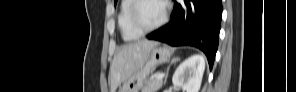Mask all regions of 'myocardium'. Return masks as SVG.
<instances>
[{
    "label": "myocardium",
    "instance_id": "myocardium-1",
    "mask_svg": "<svg viewBox=\"0 0 296 92\" xmlns=\"http://www.w3.org/2000/svg\"><path fill=\"white\" fill-rule=\"evenodd\" d=\"M145 1H148V0L133 1V4L130 9V13H129V21H130L131 26L141 34H146V33L152 32V31L160 28L161 26H163L166 23V21L168 19V4L165 1H159L163 5L162 18L153 26H150V27L143 26L138 18V12H139L140 6Z\"/></svg>",
    "mask_w": 296,
    "mask_h": 92
}]
</instances>
